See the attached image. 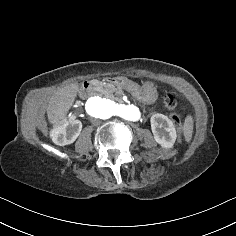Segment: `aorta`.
<instances>
[{
  "mask_svg": "<svg viewBox=\"0 0 236 236\" xmlns=\"http://www.w3.org/2000/svg\"><path fill=\"white\" fill-rule=\"evenodd\" d=\"M86 113L92 118L109 119L113 116L136 122L141 118L139 109L134 105L117 104L98 96L90 97L85 103Z\"/></svg>",
  "mask_w": 236,
  "mask_h": 236,
  "instance_id": "1",
  "label": "aorta"
}]
</instances>
